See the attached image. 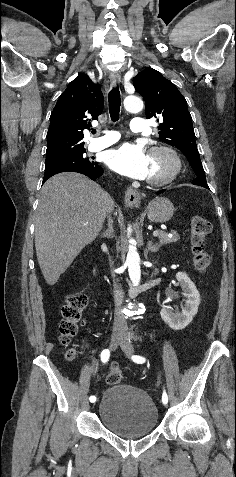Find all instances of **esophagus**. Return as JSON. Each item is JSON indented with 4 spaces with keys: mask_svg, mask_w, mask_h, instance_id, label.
Listing matches in <instances>:
<instances>
[{
    "mask_svg": "<svg viewBox=\"0 0 236 477\" xmlns=\"http://www.w3.org/2000/svg\"><path fill=\"white\" fill-rule=\"evenodd\" d=\"M121 81V76L118 72H113L110 75V83L112 86H116L118 83ZM141 200L140 193L133 189V188H128L125 192L124 196V202L127 206L129 207H139Z\"/></svg>",
    "mask_w": 236,
    "mask_h": 477,
    "instance_id": "1",
    "label": "esophagus"
}]
</instances>
